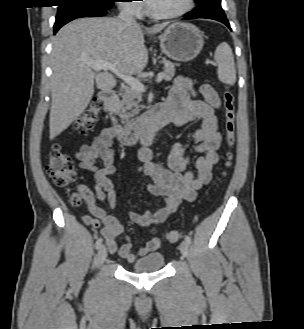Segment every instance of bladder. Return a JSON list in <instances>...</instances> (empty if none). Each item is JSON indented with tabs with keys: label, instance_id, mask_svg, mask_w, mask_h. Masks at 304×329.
Here are the masks:
<instances>
[{
	"label": "bladder",
	"instance_id": "1",
	"mask_svg": "<svg viewBox=\"0 0 304 329\" xmlns=\"http://www.w3.org/2000/svg\"><path fill=\"white\" fill-rule=\"evenodd\" d=\"M165 266V256L162 252L148 253L131 264L132 273H150L161 271Z\"/></svg>",
	"mask_w": 304,
	"mask_h": 329
}]
</instances>
